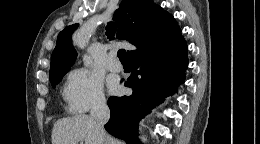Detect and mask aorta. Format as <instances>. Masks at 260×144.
<instances>
[{
	"label": "aorta",
	"mask_w": 260,
	"mask_h": 144,
	"mask_svg": "<svg viewBox=\"0 0 260 144\" xmlns=\"http://www.w3.org/2000/svg\"><path fill=\"white\" fill-rule=\"evenodd\" d=\"M83 62L85 66H91L92 65V58L89 55L83 56Z\"/></svg>",
	"instance_id": "762f6f07"
}]
</instances>
